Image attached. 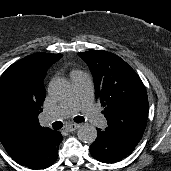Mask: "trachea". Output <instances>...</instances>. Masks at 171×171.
I'll return each mask as SVG.
<instances>
[{"mask_svg": "<svg viewBox=\"0 0 171 171\" xmlns=\"http://www.w3.org/2000/svg\"><path fill=\"white\" fill-rule=\"evenodd\" d=\"M84 117H82V116H76L75 118H74V121L76 122V123H81V122H84ZM52 128L54 129V130H59V129H61L62 128V126H63V123L61 122V121H56V122H54V123H52Z\"/></svg>", "mask_w": 171, "mask_h": 171, "instance_id": "trachea-1", "label": "trachea"}]
</instances>
